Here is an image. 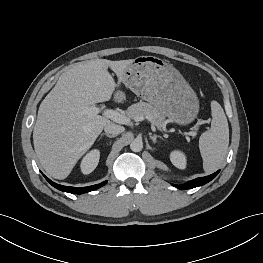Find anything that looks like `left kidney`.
<instances>
[{"mask_svg":"<svg viewBox=\"0 0 263 263\" xmlns=\"http://www.w3.org/2000/svg\"><path fill=\"white\" fill-rule=\"evenodd\" d=\"M170 160L175 167L179 169L186 168L187 160L185 154L182 151L179 150L172 151L170 153Z\"/></svg>","mask_w":263,"mask_h":263,"instance_id":"1","label":"left kidney"}]
</instances>
